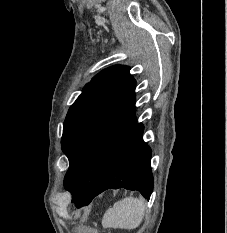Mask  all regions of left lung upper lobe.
Here are the masks:
<instances>
[{"label": "left lung upper lobe", "instance_id": "1", "mask_svg": "<svg viewBox=\"0 0 227 233\" xmlns=\"http://www.w3.org/2000/svg\"><path fill=\"white\" fill-rule=\"evenodd\" d=\"M129 70L115 65L98 73L68 111L61 144L70 164L64 187L73 202L95 190L112 153L136 125V82Z\"/></svg>", "mask_w": 227, "mask_h": 233}]
</instances>
